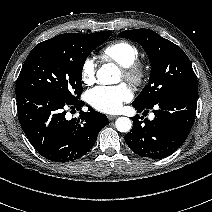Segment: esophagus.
<instances>
[{
    "instance_id": "1",
    "label": "esophagus",
    "mask_w": 212,
    "mask_h": 212,
    "mask_svg": "<svg viewBox=\"0 0 212 212\" xmlns=\"http://www.w3.org/2000/svg\"><path fill=\"white\" fill-rule=\"evenodd\" d=\"M116 118H117V116H115V115H109V116H108V119H109L110 121L115 120Z\"/></svg>"
}]
</instances>
